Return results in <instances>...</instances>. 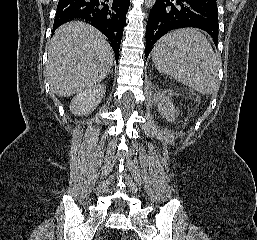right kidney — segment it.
Segmentation results:
<instances>
[{
    "instance_id": "obj_1",
    "label": "right kidney",
    "mask_w": 257,
    "mask_h": 240,
    "mask_svg": "<svg viewBox=\"0 0 257 240\" xmlns=\"http://www.w3.org/2000/svg\"><path fill=\"white\" fill-rule=\"evenodd\" d=\"M106 91L104 84H99L78 93L70 103V110L74 115H88L101 102Z\"/></svg>"
}]
</instances>
